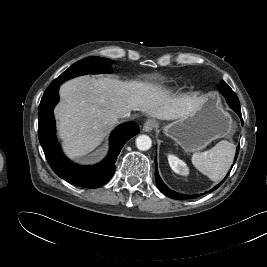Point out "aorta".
I'll return each instance as SVG.
<instances>
[{"label":"aorta","mask_w":267,"mask_h":267,"mask_svg":"<svg viewBox=\"0 0 267 267\" xmlns=\"http://www.w3.org/2000/svg\"><path fill=\"white\" fill-rule=\"evenodd\" d=\"M152 146V140L147 135H140L136 138V147L141 151H147Z\"/></svg>","instance_id":"aorta-1"}]
</instances>
